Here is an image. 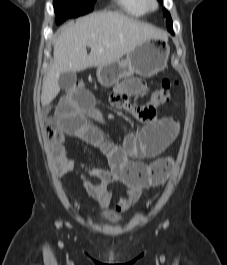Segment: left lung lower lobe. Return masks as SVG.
I'll use <instances>...</instances> for the list:
<instances>
[{
	"mask_svg": "<svg viewBox=\"0 0 227 265\" xmlns=\"http://www.w3.org/2000/svg\"><path fill=\"white\" fill-rule=\"evenodd\" d=\"M171 33H173V29L172 30H169Z\"/></svg>",
	"mask_w": 227,
	"mask_h": 265,
	"instance_id": "1",
	"label": "left lung lower lobe"
}]
</instances>
